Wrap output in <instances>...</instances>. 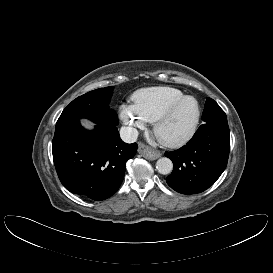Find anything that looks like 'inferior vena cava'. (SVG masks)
<instances>
[{
    "mask_svg": "<svg viewBox=\"0 0 273 273\" xmlns=\"http://www.w3.org/2000/svg\"><path fill=\"white\" fill-rule=\"evenodd\" d=\"M139 133L133 127L123 126L120 129L121 139L126 143H133L137 140Z\"/></svg>",
    "mask_w": 273,
    "mask_h": 273,
    "instance_id": "inferior-vena-cava-1",
    "label": "inferior vena cava"
}]
</instances>
